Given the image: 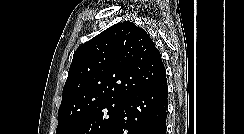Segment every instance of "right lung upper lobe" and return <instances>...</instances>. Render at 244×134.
<instances>
[{
	"mask_svg": "<svg viewBox=\"0 0 244 134\" xmlns=\"http://www.w3.org/2000/svg\"><path fill=\"white\" fill-rule=\"evenodd\" d=\"M166 76L160 52L143 28L115 24L77 48L58 120L109 99L126 100Z\"/></svg>",
	"mask_w": 244,
	"mask_h": 134,
	"instance_id": "1",
	"label": "right lung upper lobe"
}]
</instances>
